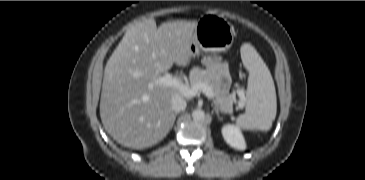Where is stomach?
<instances>
[{"mask_svg": "<svg viewBox=\"0 0 365 180\" xmlns=\"http://www.w3.org/2000/svg\"><path fill=\"white\" fill-rule=\"evenodd\" d=\"M234 42L233 26L224 18L203 15L197 21L190 43L192 57L204 52H225Z\"/></svg>", "mask_w": 365, "mask_h": 180, "instance_id": "0dacf381", "label": "stomach"}]
</instances>
